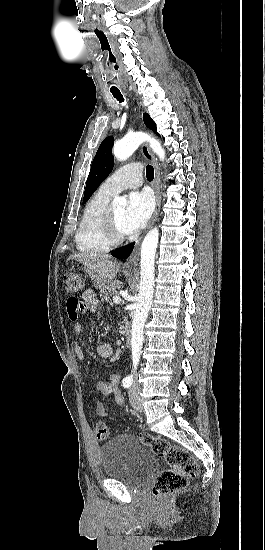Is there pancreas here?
<instances>
[{"mask_svg": "<svg viewBox=\"0 0 265 550\" xmlns=\"http://www.w3.org/2000/svg\"><path fill=\"white\" fill-rule=\"evenodd\" d=\"M121 288V283L119 281H113L108 286H106L102 292L106 300H112L114 296H118L119 289Z\"/></svg>", "mask_w": 265, "mask_h": 550, "instance_id": "obj_1", "label": "pancreas"}]
</instances>
